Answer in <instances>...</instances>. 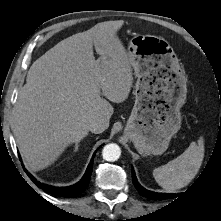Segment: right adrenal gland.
Returning <instances> with one entry per match:
<instances>
[{"label": "right adrenal gland", "mask_w": 221, "mask_h": 221, "mask_svg": "<svg viewBox=\"0 0 221 221\" xmlns=\"http://www.w3.org/2000/svg\"><path fill=\"white\" fill-rule=\"evenodd\" d=\"M78 147H79V142H76V144H75V150H74L75 152L78 151Z\"/></svg>", "instance_id": "1"}]
</instances>
